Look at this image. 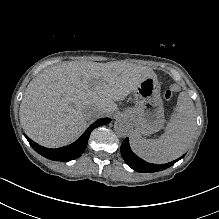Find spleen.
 <instances>
[{"label":"spleen","mask_w":219,"mask_h":219,"mask_svg":"<svg viewBox=\"0 0 219 219\" xmlns=\"http://www.w3.org/2000/svg\"><path fill=\"white\" fill-rule=\"evenodd\" d=\"M196 126L195 106L187 93H181L174 116L166 132L158 139H144L133 131L130 148L140 159L152 164H166L183 155L190 146Z\"/></svg>","instance_id":"1"}]
</instances>
